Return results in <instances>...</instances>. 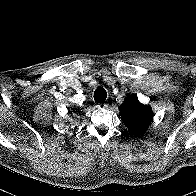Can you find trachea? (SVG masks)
<instances>
[{
  "mask_svg": "<svg viewBox=\"0 0 196 196\" xmlns=\"http://www.w3.org/2000/svg\"><path fill=\"white\" fill-rule=\"evenodd\" d=\"M107 93L103 87H98L94 92V100L98 103H103L106 100Z\"/></svg>",
  "mask_w": 196,
  "mask_h": 196,
  "instance_id": "3493384b",
  "label": "trachea"
}]
</instances>
